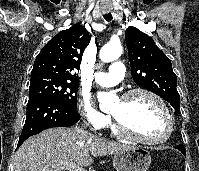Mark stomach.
<instances>
[{
    "label": "stomach",
    "mask_w": 199,
    "mask_h": 171,
    "mask_svg": "<svg viewBox=\"0 0 199 171\" xmlns=\"http://www.w3.org/2000/svg\"><path fill=\"white\" fill-rule=\"evenodd\" d=\"M150 164V153L140 147L123 150L113 157V166L116 171H147Z\"/></svg>",
    "instance_id": "obj_1"
}]
</instances>
